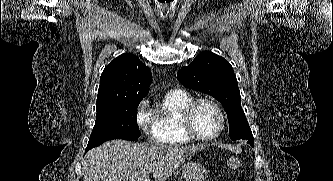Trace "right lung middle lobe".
Wrapping results in <instances>:
<instances>
[{
  "label": "right lung middle lobe",
  "instance_id": "dd1d6c3e",
  "mask_svg": "<svg viewBox=\"0 0 333 181\" xmlns=\"http://www.w3.org/2000/svg\"><path fill=\"white\" fill-rule=\"evenodd\" d=\"M141 100L97 109V118L87 148L107 140H136L140 137L137 125V108Z\"/></svg>",
  "mask_w": 333,
  "mask_h": 181
}]
</instances>
